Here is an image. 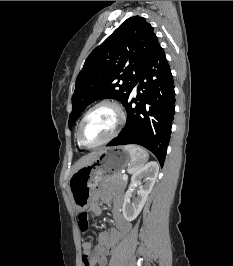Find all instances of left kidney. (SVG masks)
<instances>
[{
  "mask_svg": "<svg viewBox=\"0 0 233 266\" xmlns=\"http://www.w3.org/2000/svg\"><path fill=\"white\" fill-rule=\"evenodd\" d=\"M158 171V164L155 161H152L141 167L132 175L131 183L125 194L122 208L123 216L127 221L135 220L141 212L148 195L152 191V188L155 184ZM137 186H139L138 197L131 203V193Z\"/></svg>",
  "mask_w": 233,
  "mask_h": 266,
  "instance_id": "5707ae66",
  "label": "left kidney"
}]
</instances>
